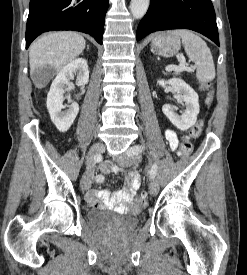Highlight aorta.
I'll list each match as a JSON object with an SVG mask.
<instances>
[{
  "label": "aorta",
  "mask_w": 247,
  "mask_h": 275,
  "mask_svg": "<svg viewBox=\"0 0 247 275\" xmlns=\"http://www.w3.org/2000/svg\"><path fill=\"white\" fill-rule=\"evenodd\" d=\"M150 0H131L130 10L134 18H142L149 7Z\"/></svg>",
  "instance_id": "aorta-1"
}]
</instances>
